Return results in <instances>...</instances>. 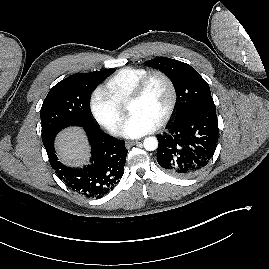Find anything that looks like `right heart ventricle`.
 Instances as JSON below:
<instances>
[{"label":"right heart ventricle","mask_w":269,"mask_h":269,"mask_svg":"<svg viewBox=\"0 0 269 269\" xmlns=\"http://www.w3.org/2000/svg\"><path fill=\"white\" fill-rule=\"evenodd\" d=\"M148 72L142 67L122 68L106 81L104 89L118 105H124L139 80Z\"/></svg>","instance_id":"right-heart-ventricle-1"}]
</instances>
